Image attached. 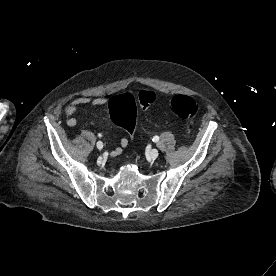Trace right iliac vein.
I'll return each instance as SVG.
<instances>
[{
  "label": "right iliac vein",
  "instance_id": "63e3f726",
  "mask_svg": "<svg viewBox=\"0 0 276 276\" xmlns=\"http://www.w3.org/2000/svg\"><path fill=\"white\" fill-rule=\"evenodd\" d=\"M96 146L99 150H101L103 148V143L101 141H98Z\"/></svg>",
  "mask_w": 276,
  "mask_h": 276
}]
</instances>
